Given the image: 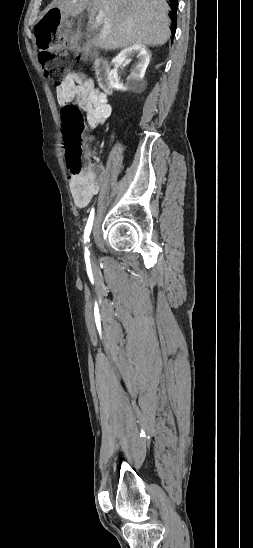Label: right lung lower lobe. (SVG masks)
<instances>
[{"label":"right lung lower lobe","mask_w":253,"mask_h":548,"mask_svg":"<svg viewBox=\"0 0 253 548\" xmlns=\"http://www.w3.org/2000/svg\"><path fill=\"white\" fill-rule=\"evenodd\" d=\"M169 1H170L171 5H172V8L174 10L173 15H172V20L175 24L174 25V31H175V29H176V19H177L176 11H177V6H178V0H169Z\"/></svg>","instance_id":"1"}]
</instances>
